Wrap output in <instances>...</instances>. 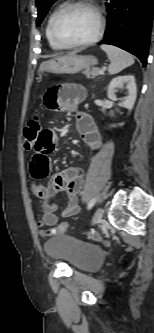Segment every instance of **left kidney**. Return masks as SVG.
I'll list each match as a JSON object with an SVG mask.
<instances>
[{
    "label": "left kidney",
    "instance_id": "left-kidney-1",
    "mask_svg": "<svg viewBox=\"0 0 154 333\" xmlns=\"http://www.w3.org/2000/svg\"><path fill=\"white\" fill-rule=\"evenodd\" d=\"M126 85L128 89V95L123 98L122 102L119 103L120 106L127 108L129 111L132 110L137 96V88L135 83V78L132 75L118 76L110 82L108 86V98L117 101V96L115 94L116 89ZM123 123L120 124L122 126Z\"/></svg>",
    "mask_w": 154,
    "mask_h": 333
}]
</instances>
